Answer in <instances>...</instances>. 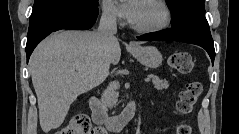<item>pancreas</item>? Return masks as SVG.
Masks as SVG:
<instances>
[{
  "label": "pancreas",
  "mask_w": 239,
  "mask_h": 134,
  "mask_svg": "<svg viewBox=\"0 0 239 134\" xmlns=\"http://www.w3.org/2000/svg\"><path fill=\"white\" fill-rule=\"evenodd\" d=\"M148 78L152 79V83L157 90H165L169 88V84L166 80H161L159 77L150 74ZM119 84L112 82L104 91L102 96V102L107 107H112L118 100L119 93L117 92Z\"/></svg>",
  "instance_id": "pancreas-1"
}]
</instances>
